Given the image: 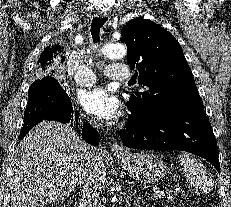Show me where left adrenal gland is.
Instances as JSON below:
<instances>
[{
	"label": "left adrenal gland",
	"instance_id": "1",
	"mask_svg": "<svg viewBox=\"0 0 231 207\" xmlns=\"http://www.w3.org/2000/svg\"><path fill=\"white\" fill-rule=\"evenodd\" d=\"M139 200H140V198H138V199H136V200L134 201V203H133L134 207H137V206H138ZM128 205H129V203H128Z\"/></svg>",
	"mask_w": 231,
	"mask_h": 207
}]
</instances>
